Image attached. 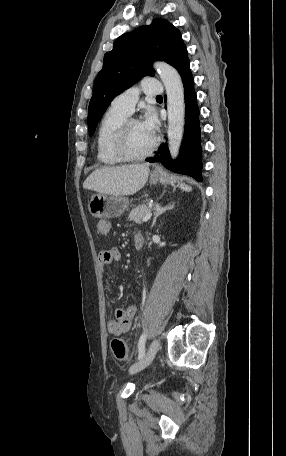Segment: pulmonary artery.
I'll return each mask as SVG.
<instances>
[{
  "mask_svg": "<svg viewBox=\"0 0 286 456\" xmlns=\"http://www.w3.org/2000/svg\"><path fill=\"white\" fill-rule=\"evenodd\" d=\"M159 84V79L155 77H146L143 79L140 86H132L117 95L113 99L111 107L127 115H131L141 92L149 96H157L162 93Z\"/></svg>",
  "mask_w": 286,
  "mask_h": 456,
  "instance_id": "pulmonary-artery-1",
  "label": "pulmonary artery"
}]
</instances>
